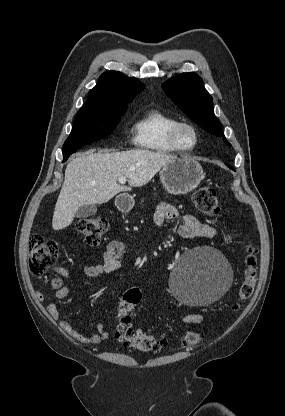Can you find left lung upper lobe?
Here are the masks:
<instances>
[{
    "mask_svg": "<svg viewBox=\"0 0 285 416\" xmlns=\"http://www.w3.org/2000/svg\"><path fill=\"white\" fill-rule=\"evenodd\" d=\"M164 92L186 115L209 133L224 137L219 120L214 115L212 97L203 80L193 72L182 73L162 84ZM226 144H231L224 137Z\"/></svg>",
    "mask_w": 285,
    "mask_h": 416,
    "instance_id": "1",
    "label": "left lung upper lobe"
}]
</instances>
